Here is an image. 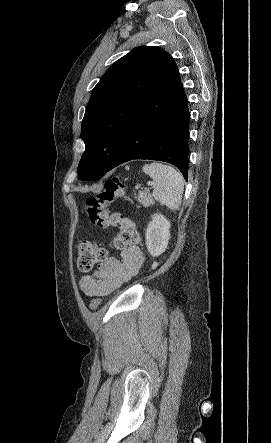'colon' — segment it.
Instances as JSON below:
<instances>
[{"mask_svg": "<svg viewBox=\"0 0 271 443\" xmlns=\"http://www.w3.org/2000/svg\"><path fill=\"white\" fill-rule=\"evenodd\" d=\"M123 183L112 177L106 180L103 189L89 196L85 203V212L90 223L99 228L116 227L118 229L114 245L117 249H126L138 243L139 236L132 218L119 211H110V205L123 194ZM77 266L80 271H90L95 264L106 258V252L97 243L80 240L76 245ZM101 299L90 302V309L96 310Z\"/></svg>", "mask_w": 271, "mask_h": 443, "instance_id": "obj_1", "label": "colon"}]
</instances>
